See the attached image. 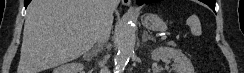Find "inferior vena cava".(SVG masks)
Here are the masks:
<instances>
[{"instance_id": "602c4592", "label": "inferior vena cava", "mask_w": 244, "mask_h": 73, "mask_svg": "<svg viewBox=\"0 0 244 73\" xmlns=\"http://www.w3.org/2000/svg\"><path fill=\"white\" fill-rule=\"evenodd\" d=\"M118 5V0H100L99 30L97 42L103 44L108 41L111 31L113 11ZM101 65V73H109L108 69Z\"/></svg>"}]
</instances>
